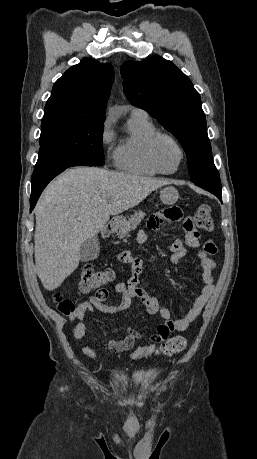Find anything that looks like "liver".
Segmentation results:
<instances>
[{"label":"liver","mask_w":257,"mask_h":459,"mask_svg":"<svg viewBox=\"0 0 257 459\" xmlns=\"http://www.w3.org/2000/svg\"><path fill=\"white\" fill-rule=\"evenodd\" d=\"M169 183L95 167L72 168L53 180L35 207V264L44 288H58L78 267L82 244L103 230L110 216Z\"/></svg>","instance_id":"liver-1"}]
</instances>
